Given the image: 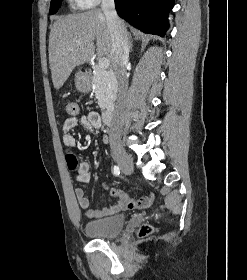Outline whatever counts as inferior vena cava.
Wrapping results in <instances>:
<instances>
[{"instance_id":"inferior-vena-cava-1","label":"inferior vena cava","mask_w":247,"mask_h":280,"mask_svg":"<svg viewBox=\"0 0 247 280\" xmlns=\"http://www.w3.org/2000/svg\"><path fill=\"white\" fill-rule=\"evenodd\" d=\"M101 10L106 17L107 26L112 37V64L118 80L116 110L113 116V127L110 132V143H116L119 140L120 110L124 104L127 90L128 33L117 15L114 0H102Z\"/></svg>"}]
</instances>
